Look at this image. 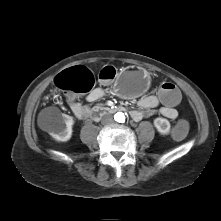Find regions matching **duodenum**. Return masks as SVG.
<instances>
[{
  "label": "duodenum",
  "mask_w": 221,
  "mask_h": 221,
  "mask_svg": "<svg viewBox=\"0 0 221 221\" xmlns=\"http://www.w3.org/2000/svg\"><path fill=\"white\" fill-rule=\"evenodd\" d=\"M122 107H100L96 106L92 109H90L87 113V117L98 121L100 120L103 116L108 115V114H113L117 111H122Z\"/></svg>",
  "instance_id": "410a0bca"
}]
</instances>
